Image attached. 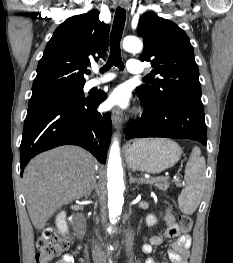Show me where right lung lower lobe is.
I'll list each match as a JSON object with an SVG mask.
<instances>
[{
	"label": "right lung lower lobe",
	"instance_id": "obj_1",
	"mask_svg": "<svg viewBox=\"0 0 233 263\" xmlns=\"http://www.w3.org/2000/svg\"><path fill=\"white\" fill-rule=\"evenodd\" d=\"M103 95L85 100H54L29 106L20 145L21 176L35 155L73 144L105 163L111 137V116L99 113Z\"/></svg>",
	"mask_w": 233,
	"mask_h": 263
}]
</instances>
